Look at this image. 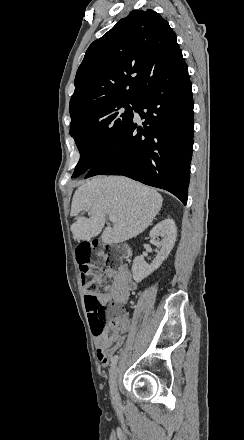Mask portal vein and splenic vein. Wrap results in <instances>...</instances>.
Returning <instances> with one entry per match:
<instances>
[{
	"mask_svg": "<svg viewBox=\"0 0 244 440\" xmlns=\"http://www.w3.org/2000/svg\"><path fill=\"white\" fill-rule=\"evenodd\" d=\"M109 220H110V222H113V224H115L117 218H116V216H113V214H109Z\"/></svg>",
	"mask_w": 244,
	"mask_h": 440,
	"instance_id": "portal-vein-and-splenic-vein-1",
	"label": "portal vein and splenic vein"
}]
</instances>
